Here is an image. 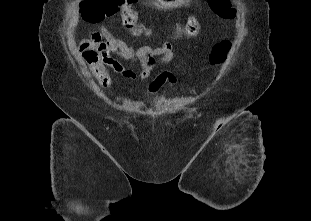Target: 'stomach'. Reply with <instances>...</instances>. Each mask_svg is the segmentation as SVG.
Segmentation results:
<instances>
[{
    "label": "stomach",
    "instance_id": "stomach-1",
    "mask_svg": "<svg viewBox=\"0 0 311 221\" xmlns=\"http://www.w3.org/2000/svg\"><path fill=\"white\" fill-rule=\"evenodd\" d=\"M184 2L185 0H152V4H155L158 8H177Z\"/></svg>",
    "mask_w": 311,
    "mask_h": 221
}]
</instances>
